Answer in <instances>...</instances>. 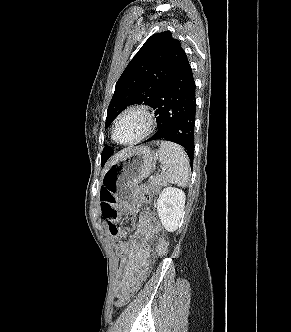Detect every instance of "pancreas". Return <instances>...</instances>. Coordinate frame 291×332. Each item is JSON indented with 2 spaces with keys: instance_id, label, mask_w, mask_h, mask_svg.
Wrapping results in <instances>:
<instances>
[{
  "instance_id": "pancreas-1",
  "label": "pancreas",
  "mask_w": 291,
  "mask_h": 332,
  "mask_svg": "<svg viewBox=\"0 0 291 332\" xmlns=\"http://www.w3.org/2000/svg\"><path fill=\"white\" fill-rule=\"evenodd\" d=\"M150 183L153 185H156L158 187H162L166 185V182L164 181V177L162 175L160 176H153L150 178Z\"/></svg>"
}]
</instances>
